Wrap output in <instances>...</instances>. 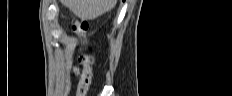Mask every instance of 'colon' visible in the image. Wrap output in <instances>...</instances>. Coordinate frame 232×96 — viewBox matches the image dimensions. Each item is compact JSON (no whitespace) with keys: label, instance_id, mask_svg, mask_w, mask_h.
<instances>
[{"label":"colon","instance_id":"5ec220e1","mask_svg":"<svg viewBox=\"0 0 232 96\" xmlns=\"http://www.w3.org/2000/svg\"><path fill=\"white\" fill-rule=\"evenodd\" d=\"M89 28V24L87 21H75L74 24H73V29L75 31V33L77 34V36L79 37V39L86 45L88 43V41L86 40V32ZM85 60L88 62V63H92L93 61V58L92 57H87L85 58ZM86 81V79H85ZM85 91V88L84 87H80L79 88V95H83Z\"/></svg>","mask_w":232,"mask_h":96}]
</instances>
